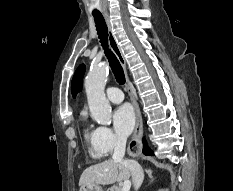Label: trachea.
Listing matches in <instances>:
<instances>
[{
	"mask_svg": "<svg viewBox=\"0 0 233 191\" xmlns=\"http://www.w3.org/2000/svg\"><path fill=\"white\" fill-rule=\"evenodd\" d=\"M93 17L96 24L97 34L99 36L102 47L105 49V54L110 63V67L115 75L117 82L122 85L125 83L123 68L114 53L108 49V28L105 20L101 14H93Z\"/></svg>",
	"mask_w": 233,
	"mask_h": 191,
	"instance_id": "trachea-1",
	"label": "trachea"
}]
</instances>
